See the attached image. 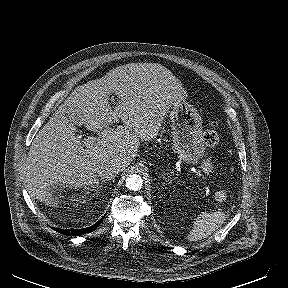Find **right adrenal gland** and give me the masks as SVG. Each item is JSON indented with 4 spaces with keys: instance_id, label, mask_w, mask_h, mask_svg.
Masks as SVG:
<instances>
[{
    "instance_id": "1",
    "label": "right adrenal gland",
    "mask_w": 288,
    "mask_h": 288,
    "mask_svg": "<svg viewBox=\"0 0 288 288\" xmlns=\"http://www.w3.org/2000/svg\"><path fill=\"white\" fill-rule=\"evenodd\" d=\"M105 183V180L101 181V182H97V184L95 186H93V189L91 191H95V194L100 193L101 187L103 186V184Z\"/></svg>"
}]
</instances>
